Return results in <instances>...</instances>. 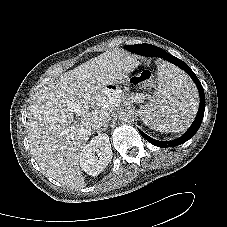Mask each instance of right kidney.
<instances>
[{"label": "right kidney", "mask_w": 227, "mask_h": 227, "mask_svg": "<svg viewBox=\"0 0 227 227\" xmlns=\"http://www.w3.org/2000/svg\"><path fill=\"white\" fill-rule=\"evenodd\" d=\"M111 159L112 150L108 135L98 134L83 148L80 166L88 175L96 176L106 168Z\"/></svg>", "instance_id": "1"}]
</instances>
